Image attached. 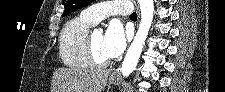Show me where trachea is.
<instances>
[{"label":"trachea","mask_w":225,"mask_h":92,"mask_svg":"<svg viewBox=\"0 0 225 92\" xmlns=\"http://www.w3.org/2000/svg\"><path fill=\"white\" fill-rule=\"evenodd\" d=\"M130 18L137 19V14H136L135 12H133V13L130 15Z\"/></svg>","instance_id":"1"}]
</instances>
